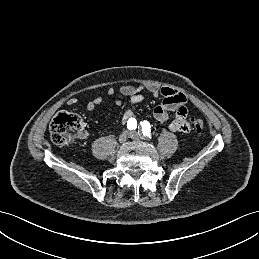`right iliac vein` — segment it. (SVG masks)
Segmentation results:
<instances>
[{
    "instance_id": "63e3f726",
    "label": "right iliac vein",
    "mask_w": 259,
    "mask_h": 259,
    "mask_svg": "<svg viewBox=\"0 0 259 259\" xmlns=\"http://www.w3.org/2000/svg\"><path fill=\"white\" fill-rule=\"evenodd\" d=\"M128 136H129V132L128 131L122 132L120 134L119 138H118L119 143H125L126 140L128 139Z\"/></svg>"
}]
</instances>
